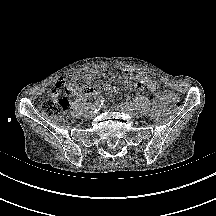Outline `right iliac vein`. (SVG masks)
<instances>
[{
    "instance_id": "right-iliac-vein-1",
    "label": "right iliac vein",
    "mask_w": 216,
    "mask_h": 216,
    "mask_svg": "<svg viewBox=\"0 0 216 216\" xmlns=\"http://www.w3.org/2000/svg\"><path fill=\"white\" fill-rule=\"evenodd\" d=\"M96 114H97V111H95V109H92L90 112H89V118H93V117H95L96 116Z\"/></svg>"
}]
</instances>
